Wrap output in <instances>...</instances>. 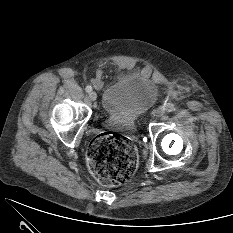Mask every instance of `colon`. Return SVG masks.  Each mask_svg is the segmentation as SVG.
Instances as JSON below:
<instances>
[{"label":"colon","mask_w":233,"mask_h":233,"mask_svg":"<svg viewBox=\"0 0 233 233\" xmlns=\"http://www.w3.org/2000/svg\"><path fill=\"white\" fill-rule=\"evenodd\" d=\"M87 161L94 177L106 186L126 183L138 165L137 153L131 140L111 132L101 133L92 139Z\"/></svg>","instance_id":"obj_1"}]
</instances>
